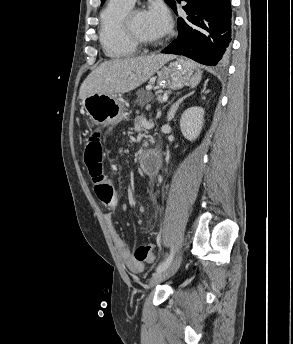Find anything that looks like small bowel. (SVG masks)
Instances as JSON below:
<instances>
[{"instance_id":"1","label":"small bowel","mask_w":293,"mask_h":344,"mask_svg":"<svg viewBox=\"0 0 293 344\" xmlns=\"http://www.w3.org/2000/svg\"><path fill=\"white\" fill-rule=\"evenodd\" d=\"M106 221L110 227L114 245L125 265L134 273H140L143 270V264L137 261L131 254L123 237L116 231L113 226V212L106 215Z\"/></svg>"}]
</instances>
